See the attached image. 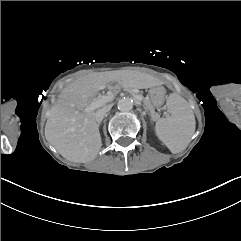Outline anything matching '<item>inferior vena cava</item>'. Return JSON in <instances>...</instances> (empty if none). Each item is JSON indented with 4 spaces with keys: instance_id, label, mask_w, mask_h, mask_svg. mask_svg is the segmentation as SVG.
Wrapping results in <instances>:
<instances>
[{
    "instance_id": "obj_1",
    "label": "inferior vena cava",
    "mask_w": 241,
    "mask_h": 241,
    "mask_svg": "<svg viewBox=\"0 0 241 241\" xmlns=\"http://www.w3.org/2000/svg\"><path fill=\"white\" fill-rule=\"evenodd\" d=\"M112 105H107L99 110L96 111L95 119L96 122L100 123L103 121L105 115L108 113V111L111 109Z\"/></svg>"
}]
</instances>
